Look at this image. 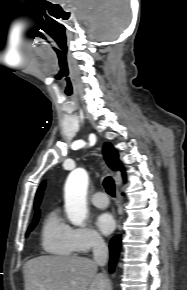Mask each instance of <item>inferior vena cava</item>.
Masks as SVG:
<instances>
[{
  "mask_svg": "<svg viewBox=\"0 0 187 290\" xmlns=\"http://www.w3.org/2000/svg\"><path fill=\"white\" fill-rule=\"evenodd\" d=\"M92 246L94 262L99 266H105L108 261V247L102 237L95 236Z\"/></svg>",
  "mask_w": 187,
  "mask_h": 290,
  "instance_id": "obj_1",
  "label": "inferior vena cava"
}]
</instances>
